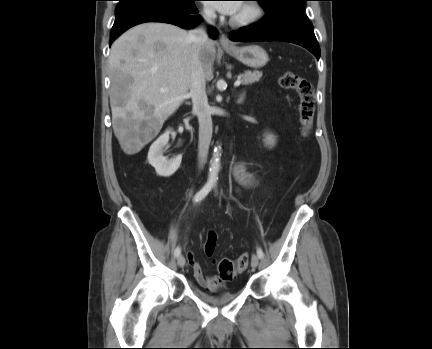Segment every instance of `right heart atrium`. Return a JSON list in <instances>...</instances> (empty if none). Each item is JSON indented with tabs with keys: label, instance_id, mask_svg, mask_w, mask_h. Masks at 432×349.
I'll return each mask as SVG.
<instances>
[{
	"label": "right heart atrium",
	"instance_id": "right-heart-atrium-1",
	"mask_svg": "<svg viewBox=\"0 0 432 349\" xmlns=\"http://www.w3.org/2000/svg\"><path fill=\"white\" fill-rule=\"evenodd\" d=\"M212 15H213V12L209 8H205L202 11V16L206 19H210L212 17Z\"/></svg>",
	"mask_w": 432,
	"mask_h": 349
}]
</instances>
